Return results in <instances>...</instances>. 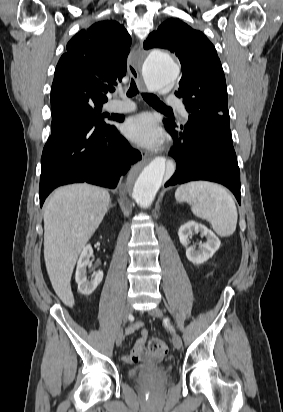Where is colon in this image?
I'll return each mask as SVG.
<instances>
[{"instance_id":"colon-1","label":"colon","mask_w":283,"mask_h":412,"mask_svg":"<svg viewBox=\"0 0 283 412\" xmlns=\"http://www.w3.org/2000/svg\"><path fill=\"white\" fill-rule=\"evenodd\" d=\"M145 346L153 356L158 358L165 356L169 352L167 344L158 339L146 338Z\"/></svg>"}]
</instances>
